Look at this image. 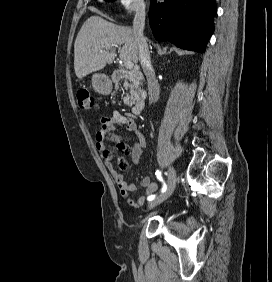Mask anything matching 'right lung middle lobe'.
<instances>
[{"mask_svg":"<svg viewBox=\"0 0 272 282\" xmlns=\"http://www.w3.org/2000/svg\"><path fill=\"white\" fill-rule=\"evenodd\" d=\"M106 1H108V2H109V1H114V0H106Z\"/></svg>","mask_w":272,"mask_h":282,"instance_id":"obj_1","label":"right lung middle lobe"}]
</instances>
